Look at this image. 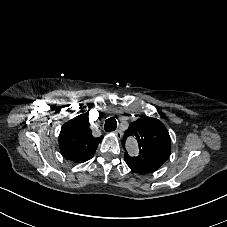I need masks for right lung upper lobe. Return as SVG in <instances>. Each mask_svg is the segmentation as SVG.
<instances>
[{"mask_svg":"<svg viewBox=\"0 0 227 227\" xmlns=\"http://www.w3.org/2000/svg\"><path fill=\"white\" fill-rule=\"evenodd\" d=\"M87 114H81L66 122L59 135L61 154L77 163L91 159L103 138L93 137Z\"/></svg>","mask_w":227,"mask_h":227,"instance_id":"right-lung-upper-lobe-1","label":"right lung upper lobe"}]
</instances>
